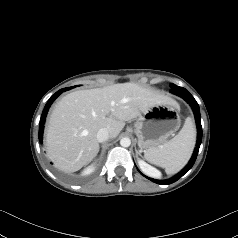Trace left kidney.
I'll list each match as a JSON object with an SVG mask.
<instances>
[{
  "mask_svg": "<svg viewBox=\"0 0 238 238\" xmlns=\"http://www.w3.org/2000/svg\"><path fill=\"white\" fill-rule=\"evenodd\" d=\"M138 164H139L140 168L143 170V172H145L146 174L152 175V176L160 175V172L157 169L153 168L152 166H150L143 160H138Z\"/></svg>",
  "mask_w": 238,
  "mask_h": 238,
  "instance_id": "obj_1",
  "label": "left kidney"
}]
</instances>
